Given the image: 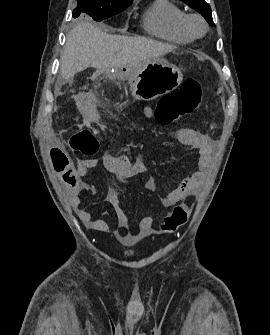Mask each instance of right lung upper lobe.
Here are the masks:
<instances>
[{"label":"right lung upper lobe","instance_id":"right-lung-upper-lobe-1","mask_svg":"<svg viewBox=\"0 0 270 335\" xmlns=\"http://www.w3.org/2000/svg\"><path fill=\"white\" fill-rule=\"evenodd\" d=\"M97 1L102 4H119V3L127 4L132 2L133 0H97Z\"/></svg>","mask_w":270,"mask_h":335}]
</instances>
